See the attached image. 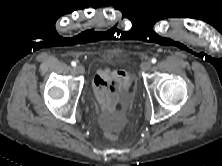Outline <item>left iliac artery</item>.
<instances>
[{
    "label": "left iliac artery",
    "mask_w": 222,
    "mask_h": 166,
    "mask_svg": "<svg viewBox=\"0 0 222 166\" xmlns=\"http://www.w3.org/2000/svg\"><path fill=\"white\" fill-rule=\"evenodd\" d=\"M151 62L155 64L157 62L156 58H152Z\"/></svg>",
    "instance_id": "obj_1"
}]
</instances>
